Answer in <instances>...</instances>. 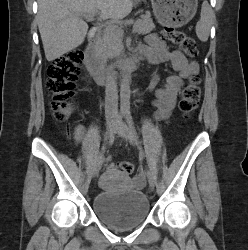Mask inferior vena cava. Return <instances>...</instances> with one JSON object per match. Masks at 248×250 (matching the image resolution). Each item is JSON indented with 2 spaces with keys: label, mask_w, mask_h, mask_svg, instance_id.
I'll list each match as a JSON object with an SVG mask.
<instances>
[{
  "label": "inferior vena cava",
  "mask_w": 248,
  "mask_h": 250,
  "mask_svg": "<svg viewBox=\"0 0 248 250\" xmlns=\"http://www.w3.org/2000/svg\"><path fill=\"white\" fill-rule=\"evenodd\" d=\"M105 116L107 121H114L118 116V91L115 73L110 68L105 85Z\"/></svg>",
  "instance_id": "602c4592"
}]
</instances>
